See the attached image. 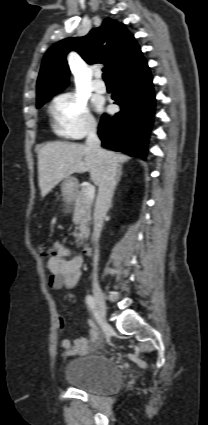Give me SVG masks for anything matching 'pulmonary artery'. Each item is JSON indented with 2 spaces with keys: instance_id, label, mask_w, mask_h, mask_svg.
I'll return each instance as SVG.
<instances>
[{
  "instance_id": "pulmonary-artery-1",
  "label": "pulmonary artery",
  "mask_w": 208,
  "mask_h": 425,
  "mask_svg": "<svg viewBox=\"0 0 208 425\" xmlns=\"http://www.w3.org/2000/svg\"><path fill=\"white\" fill-rule=\"evenodd\" d=\"M97 79L93 83L94 91L98 93H105L107 88L105 83L100 79L99 74L96 75Z\"/></svg>"
}]
</instances>
